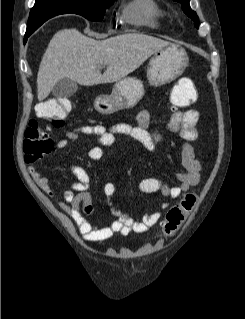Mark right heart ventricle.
Wrapping results in <instances>:
<instances>
[{
    "instance_id": "obj_1",
    "label": "right heart ventricle",
    "mask_w": 245,
    "mask_h": 319,
    "mask_svg": "<svg viewBox=\"0 0 245 319\" xmlns=\"http://www.w3.org/2000/svg\"><path fill=\"white\" fill-rule=\"evenodd\" d=\"M165 12L157 0H129L122 8V19L136 26L158 28Z\"/></svg>"
}]
</instances>
